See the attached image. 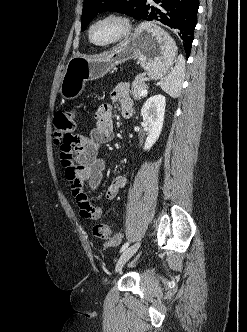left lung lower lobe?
Segmentation results:
<instances>
[{
	"label": "left lung lower lobe",
	"instance_id": "1",
	"mask_svg": "<svg viewBox=\"0 0 247 332\" xmlns=\"http://www.w3.org/2000/svg\"><path fill=\"white\" fill-rule=\"evenodd\" d=\"M156 6L147 3L140 20H157L174 29L183 42L186 56L190 55L194 29L197 23L198 0H153Z\"/></svg>",
	"mask_w": 247,
	"mask_h": 332
}]
</instances>
